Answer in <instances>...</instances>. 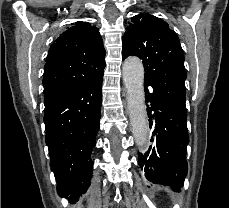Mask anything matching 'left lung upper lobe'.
<instances>
[{"label":"left lung upper lobe","instance_id":"1","mask_svg":"<svg viewBox=\"0 0 229 208\" xmlns=\"http://www.w3.org/2000/svg\"><path fill=\"white\" fill-rule=\"evenodd\" d=\"M122 43L123 60L130 55L143 60L144 82L186 108L184 54L178 36L168 24L148 13L136 15Z\"/></svg>","mask_w":229,"mask_h":208}]
</instances>
